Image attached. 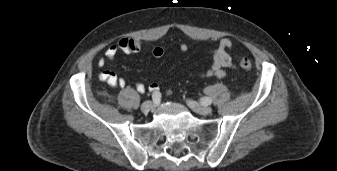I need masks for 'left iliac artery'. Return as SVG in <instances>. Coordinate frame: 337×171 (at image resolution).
I'll list each match as a JSON object with an SVG mask.
<instances>
[{
    "mask_svg": "<svg viewBox=\"0 0 337 171\" xmlns=\"http://www.w3.org/2000/svg\"><path fill=\"white\" fill-rule=\"evenodd\" d=\"M202 104L210 105L212 103V99L209 97H204L201 99Z\"/></svg>",
    "mask_w": 337,
    "mask_h": 171,
    "instance_id": "obj_1",
    "label": "left iliac artery"
}]
</instances>
